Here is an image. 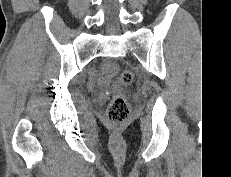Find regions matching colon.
I'll use <instances>...</instances> for the list:
<instances>
[{"label": "colon", "mask_w": 231, "mask_h": 177, "mask_svg": "<svg viewBox=\"0 0 231 177\" xmlns=\"http://www.w3.org/2000/svg\"><path fill=\"white\" fill-rule=\"evenodd\" d=\"M134 75L130 70H124L115 80V86H127L133 81ZM130 103L128 99L121 93H116L112 97L108 110L107 118L113 125H120L124 123L130 114Z\"/></svg>", "instance_id": "5ec220e1"}]
</instances>
